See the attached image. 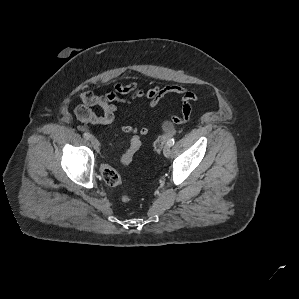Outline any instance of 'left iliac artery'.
I'll return each mask as SVG.
<instances>
[{
    "instance_id": "44dca946",
    "label": "left iliac artery",
    "mask_w": 299,
    "mask_h": 299,
    "mask_svg": "<svg viewBox=\"0 0 299 299\" xmlns=\"http://www.w3.org/2000/svg\"><path fill=\"white\" fill-rule=\"evenodd\" d=\"M174 143H175V139L172 138V139L168 140L167 145H169L171 147L174 145Z\"/></svg>"
}]
</instances>
